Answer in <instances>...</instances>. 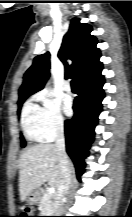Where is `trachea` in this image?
I'll return each mask as SVG.
<instances>
[{
	"label": "trachea",
	"instance_id": "obj_1",
	"mask_svg": "<svg viewBox=\"0 0 132 217\" xmlns=\"http://www.w3.org/2000/svg\"><path fill=\"white\" fill-rule=\"evenodd\" d=\"M71 86H72V89H77V81L76 80H72L71 81Z\"/></svg>",
	"mask_w": 132,
	"mask_h": 217
}]
</instances>
